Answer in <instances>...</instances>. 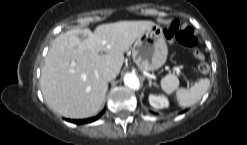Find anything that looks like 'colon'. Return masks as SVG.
Returning a JSON list of instances; mask_svg holds the SVG:
<instances>
[{
  "mask_svg": "<svg viewBox=\"0 0 247 145\" xmlns=\"http://www.w3.org/2000/svg\"><path fill=\"white\" fill-rule=\"evenodd\" d=\"M164 35L167 40L177 42L185 47L191 48L196 59L200 61L198 70L201 74H207L210 71L209 65L204 61L205 56L197 47L198 40L192 28H182L179 21H173L164 30Z\"/></svg>",
  "mask_w": 247,
  "mask_h": 145,
  "instance_id": "1",
  "label": "colon"
}]
</instances>
